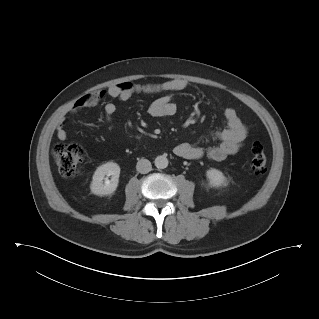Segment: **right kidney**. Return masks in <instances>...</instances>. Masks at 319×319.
<instances>
[{"label": "right kidney", "mask_w": 319, "mask_h": 319, "mask_svg": "<svg viewBox=\"0 0 319 319\" xmlns=\"http://www.w3.org/2000/svg\"><path fill=\"white\" fill-rule=\"evenodd\" d=\"M120 167L117 163L107 162L99 166L93 174L92 182L90 184L91 192L98 196H105L112 194L119 183ZM105 176H111V180L106 179Z\"/></svg>", "instance_id": "obj_1"}]
</instances>
